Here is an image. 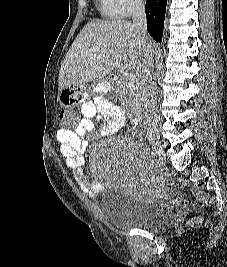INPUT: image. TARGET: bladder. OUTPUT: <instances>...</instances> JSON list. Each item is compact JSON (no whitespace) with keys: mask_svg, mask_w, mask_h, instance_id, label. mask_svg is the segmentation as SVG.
I'll return each instance as SVG.
<instances>
[{"mask_svg":"<svg viewBox=\"0 0 227 267\" xmlns=\"http://www.w3.org/2000/svg\"><path fill=\"white\" fill-rule=\"evenodd\" d=\"M100 207L104 219L114 228L159 229L172 224L174 210L158 200H136L116 188L102 193Z\"/></svg>","mask_w":227,"mask_h":267,"instance_id":"obj_1","label":"bladder"}]
</instances>
